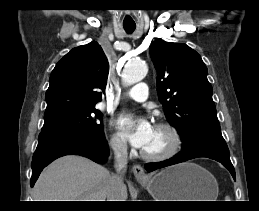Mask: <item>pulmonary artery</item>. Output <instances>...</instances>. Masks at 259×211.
Wrapping results in <instances>:
<instances>
[{"label":"pulmonary artery","mask_w":259,"mask_h":211,"mask_svg":"<svg viewBox=\"0 0 259 211\" xmlns=\"http://www.w3.org/2000/svg\"><path fill=\"white\" fill-rule=\"evenodd\" d=\"M124 96L136 102H144L148 97V87L145 83H139L128 89Z\"/></svg>","instance_id":"pulmonary-artery-1"}]
</instances>
